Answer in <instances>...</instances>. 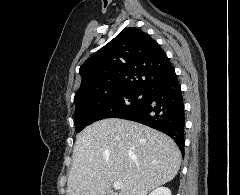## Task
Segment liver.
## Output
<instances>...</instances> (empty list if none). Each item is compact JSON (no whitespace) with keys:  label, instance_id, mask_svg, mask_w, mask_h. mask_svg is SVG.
I'll return each mask as SVG.
<instances>
[{"label":"liver","instance_id":"liver-1","mask_svg":"<svg viewBox=\"0 0 240 195\" xmlns=\"http://www.w3.org/2000/svg\"><path fill=\"white\" fill-rule=\"evenodd\" d=\"M72 159L68 195H147L175 177L181 151L153 127L107 117L76 135ZM114 181H122L119 193Z\"/></svg>","mask_w":240,"mask_h":195}]
</instances>
